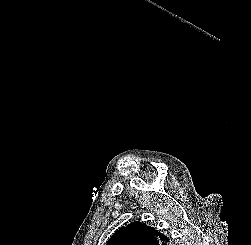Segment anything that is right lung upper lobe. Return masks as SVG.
Wrapping results in <instances>:
<instances>
[{"label": "right lung upper lobe", "mask_w": 251, "mask_h": 245, "mask_svg": "<svg viewBox=\"0 0 251 245\" xmlns=\"http://www.w3.org/2000/svg\"><path fill=\"white\" fill-rule=\"evenodd\" d=\"M169 239L153 227L134 222L117 230L107 245H167Z\"/></svg>", "instance_id": "1"}]
</instances>
